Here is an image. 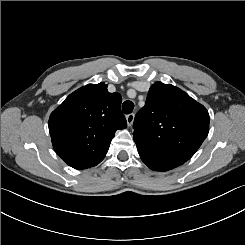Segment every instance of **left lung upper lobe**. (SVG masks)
I'll return each mask as SVG.
<instances>
[{
    "mask_svg": "<svg viewBox=\"0 0 245 245\" xmlns=\"http://www.w3.org/2000/svg\"><path fill=\"white\" fill-rule=\"evenodd\" d=\"M133 127L137 149L164 151L189 160L209 131V113L171 84L154 83Z\"/></svg>",
    "mask_w": 245,
    "mask_h": 245,
    "instance_id": "obj_1",
    "label": "left lung upper lobe"
}]
</instances>
